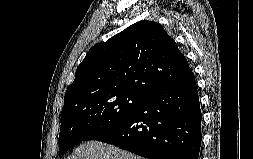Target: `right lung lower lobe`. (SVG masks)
Returning a JSON list of instances; mask_svg holds the SVG:
<instances>
[{"label": "right lung lower lobe", "instance_id": "1", "mask_svg": "<svg viewBox=\"0 0 253 159\" xmlns=\"http://www.w3.org/2000/svg\"><path fill=\"white\" fill-rule=\"evenodd\" d=\"M201 118L191 73L151 92L128 118L92 139L150 159H198Z\"/></svg>", "mask_w": 253, "mask_h": 159}]
</instances>
